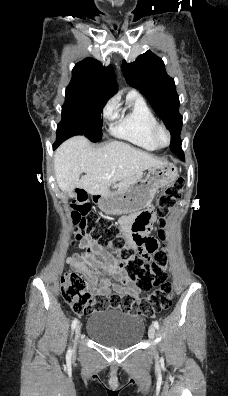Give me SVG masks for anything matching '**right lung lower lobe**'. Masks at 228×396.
I'll use <instances>...</instances> for the list:
<instances>
[{
    "label": "right lung lower lobe",
    "instance_id": "98d812e1",
    "mask_svg": "<svg viewBox=\"0 0 228 396\" xmlns=\"http://www.w3.org/2000/svg\"><path fill=\"white\" fill-rule=\"evenodd\" d=\"M63 141L57 139L56 143L53 145V148L55 149L60 143H62Z\"/></svg>",
    "mask_w": 228,
    "mask_h": 396
}]
</instances>
